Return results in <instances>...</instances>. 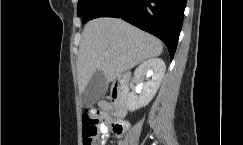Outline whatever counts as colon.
<instances>
[{"label": "colon", "mask_w": 243, "mask_h": 145, "mask_svg": "<svg viewBox=\"0 0 243 145\" xmlns=\"http://www.w3.org/2000/svg\"><path fill=\"white\" fill-rule=\"evenodd\" d=\"M104 112L98 108H88L82 116L83 124V145H98L97 134L101 127ZM115 133H122L125 130V124L121 121H113L110 125Z\"/></svg>", "instance_id": "colon-1"}]
</instances>
